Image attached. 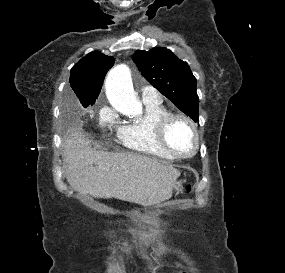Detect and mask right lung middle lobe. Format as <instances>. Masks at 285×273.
I'll list each match as a JSON object with an SVG mask.
<instances>
[{
	"label": "right lung middle lobe",
	"instance_id": "dd1d6c3e",
	"mask_svg": "<svg viewBox=\"0 0 285 273\" xmlns=\"http://www.w3.org/2000/svg\"><path fill=\"white\" fill-rule=\"evenodd\" d=\"M89 104H86V105H83L84 107H87ZM91 105H93V104H91Z\"/></svg>",
	"mask_w": 285,
	"mask_h": 273
}]
</instances>
